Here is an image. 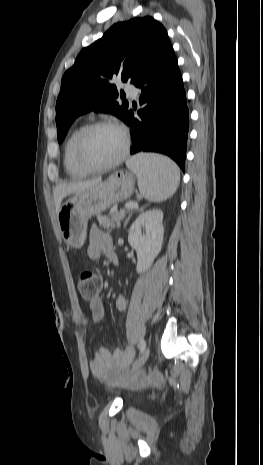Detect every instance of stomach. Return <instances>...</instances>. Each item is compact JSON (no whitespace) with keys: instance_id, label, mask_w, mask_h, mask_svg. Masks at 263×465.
Segmentation results:
<instances>
[{"instance_id":"obj_1","label":"stomach","mask_w":263,"mask_h":465,"mask_svg":"<svg viewBox=\"0 0 263 465\" xmlns=\"http://www.w3.org/2000/svg\"><path fill=\"white\" fill-rule=\"evenodd\" d=\"M134 189V175L118 170L100 184L74 193L61 205L57 214L58 226L64 241L74 248L82 247L86 240L89 218L113 204L129 199Z\"/></svg>"}]
</instances>
